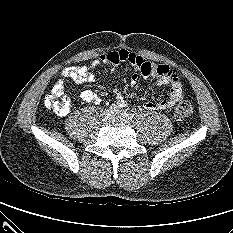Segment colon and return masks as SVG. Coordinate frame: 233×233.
Instances as JSON below:
<instances>
[{
    "label": "colon",
    "instance_id": "obj_1",
    "mask_svg": "<svg viewBox=\"0 0 233 233\" xmlns=\"http://www.w3.org/2000/svg\"><path fill=\"white\" fill-rule=\"evenodd\" d=\"M62 93L58 89L52 90L44 100L45 106L57 114L65 112L70 107L69 98L62 96ZM174 114L178 120H187L194 114V109L188 101H181L175 107Z\"/></svg>",
    "mask_w": 233,
    "mask_h": 233
}]
</instances>
